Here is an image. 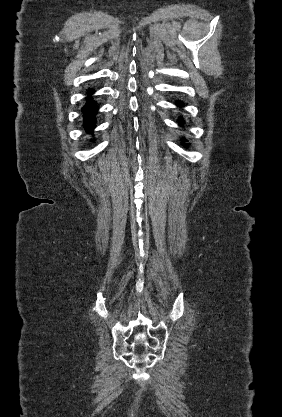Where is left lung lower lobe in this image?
Masks as SVG:
<instances>
[{"instance_id": "1", "label": "left lung lower lobe", "mask_w": 282, "mask_h": 417, "mask_svg": "<svg viewBox=\"0 0 282 417\" xmlns=\"http://www.w3.org/2000/svg\"><path fill=\"white\" fill-rule=\"evenodd\" d=\"M177 105L182 106V102H178ZM181 122H183V120H181ZM180 124H182V123H180ZM183 140H185V139H183Z\"/></svg>"}]
</instances>
